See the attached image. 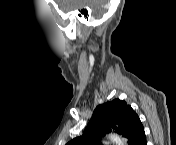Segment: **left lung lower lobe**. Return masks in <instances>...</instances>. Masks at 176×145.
I'll return each mask as SVG.
<instances>
[{
	"label": "left lung lower lobe",
	"instance_id": "0a47b994",
	"mask_svg": "<svg viewBox=\"0 0 176 145\" xmlns=\"http://www.w3.org/2000/svg\"><path fill=\"white\" fill-rule=\"evenodd\" d=\"M135 145H147L146 138H145V132L141 134Z\"/></svg>",
	"mask_w": 176,
	"mask_h": 145
}]
</instances>
